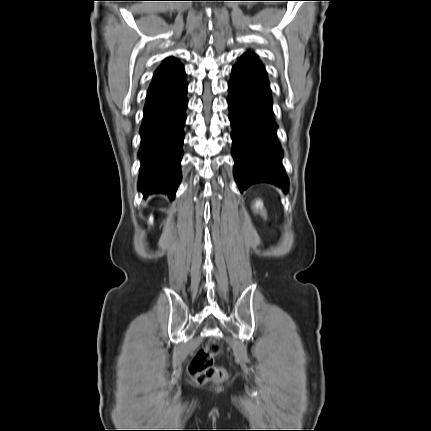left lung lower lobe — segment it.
<instances>
[{"instance_id": "obj_1", "label": "left lung lower lobe", "mask_w": 431, "mask_h": 431, "mask_svg": "<svg viewBox=\"0 0 431 431\" xmlns=\"http://www.w3.org/2000/svg\"><path fill=\"white\" fill-rule=\"evenodd\" d=\"M228 90L234 176L239 190L266 182L286 193L288 178L282 165V148L277 140L264 67L237 63L232 68Z\"/></svg>"}]
</instances>
